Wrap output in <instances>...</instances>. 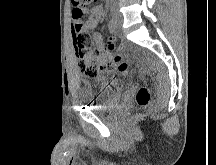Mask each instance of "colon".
Returning <instances> with one entry per match:
<instances>
[{"instance_id":"obj_1","label":"colon","mask_w":216,"mask_h":165,"mask_svg":"<svg viewBox=\"0 0 216 165\" xmlns=\"http://www.w3.org/2000/svg\"><path fill=\"white\" fill-rule=\"evenodd\" d=\"M74 8H81L82 12L89 9L97 0H71ZM74 47L78 59L80 74L86 79H95L103 71L116 66L120 73H129V64L123 57L114 53V43L109 40L104 52L93 47V36L90 30H85L77 35L74 40ZM139 106H146L150 101V92L147 87H140L135 96Z\"/></svg>"}]
</instances>
